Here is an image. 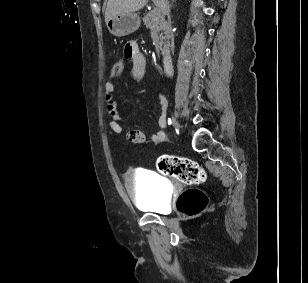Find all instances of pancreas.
Returning a JSON list of instances; mask_svg holds the SVG:
<instances>
[{"mask_svg": "<svg viewBox=\"0 0 308 283\" xmlns=\"http://www.w3.org/2000/svg\"><path fill=\"white\" fill-rule=\"evenodd\" d=\"M143 22L147 28L160 33L158 49H160L164 55H167L169 53L170 45V26L162 16L161 11H151L144 14Z\"/></svg>", "mask_w": 308, "mask_h": 283, "instance_id": "cf45deb5", "label": "pancreas"}]
</instances>
